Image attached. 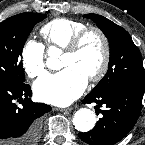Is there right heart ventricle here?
<instances>
[{
  "instance_id": "right-heart-ventricle-1",
  "label": "right heart ventricle",
  "mask_w": 145,
  "mask_h": 145,
  "mask_svg": "<svg viewBox=\"0 0 145 145\" xmlns=\"http://www.w3.org/2000/svg\"><path fill=\"white\" fill-rule=\"evenodd\" d=\"M87 24L71 18H55L44 24L40 33L48 48L64 49L71 38Z\"/></svg>"
}]
</instances>
